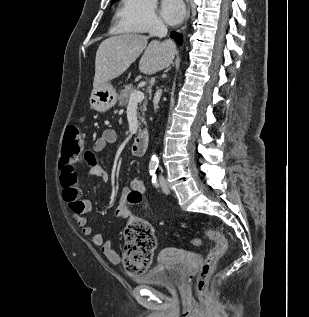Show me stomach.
<instances>
[{
    "label": "stomach",
    "mask_w": 309,
    "mask_h": 317,
    "mask_svg": "<svg viewBox=\"0 0 309 317\" xmlns=\"http://www.w3.org/2000/svg\"><path fill=\"white\" fill-rule=\"evenodd\" d=\"M118 95L110 83H106L91 93L89 102L92 109L98 112H106L117 103Z\"/></svg>",
    "instance_id": "1"
}]
</instances>
